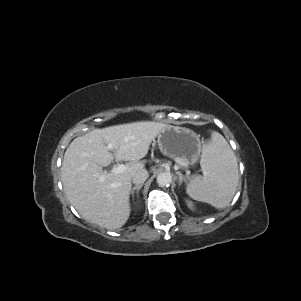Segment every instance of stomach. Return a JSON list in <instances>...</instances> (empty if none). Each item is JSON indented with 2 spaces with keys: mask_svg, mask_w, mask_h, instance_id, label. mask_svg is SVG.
<instances>
[{
  "mask_svg": "<svg viewBox=\"0 0 301 301\" xmlns=\"http://www.w3.org/2000/svg\"><path fill=\"white\" fill-rule=\"evenodd\" d=\"M157 142L161 152L175 161L192 165L199 159L200 137L191 129L167 125L158 133Z\"/></svg>",
  "mask_w": 301,
  "mask_h": 301,
  "instance_id": "1",
  "label": "stomach"
}]
</instances>
